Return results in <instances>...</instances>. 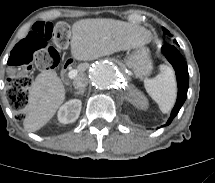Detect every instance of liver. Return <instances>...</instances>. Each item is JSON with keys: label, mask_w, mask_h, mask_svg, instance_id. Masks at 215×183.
Listing matches in <instances>:
<instances>
[{"label": "liver", "mask_w": 215, "mask_h": 183, "mask_svg": "<svg viewBox=\"0 0 215 183\" xmlns=\"http://www.w3.org/2000/svg\"><path fill=\"white\" fill-rule=\"evenodd\" d=\"M71 30V53L80 61L135 49L152 40L151 32L144 27L114 19L79 20L72 25ZM86 66L80 64L78 71H84ZM64 101L65 87L57 73L54 70L42 71L29 90L24 129L36 132L42 128Z\"/></svg>", "instance_id": "1"}]
</instances>
